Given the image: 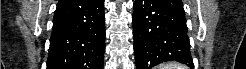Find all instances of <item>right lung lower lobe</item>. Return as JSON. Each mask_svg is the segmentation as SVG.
<instances>
[{
	"label": "right lung lower lobe",
	"mask_w": 246,
	"mask_h": 69,
	"mask_svg": "<svg viewBox=\"0 0 246 69\" xmlns=\"http://www.w3.org/2000/svg\"><path fill=\"white\" fill-rule=\"evenodd\" d=\"M103 0H60L53 19L47 69H103Z\"/></svg>",
	"instance_id": "1"
}]
</instances>
